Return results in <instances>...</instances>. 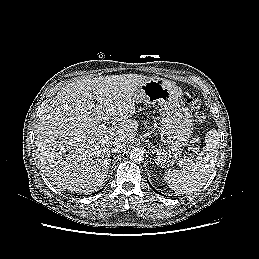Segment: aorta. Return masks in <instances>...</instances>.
Wrapping results in <instances>:
<instances>
[{"instance_id":"1","label":"aorta","mask_w":259,"mask_h":259,"mask_svg":"<svg viewBox=\"0 0 259 259\" xmlns=\"http://www.w3.org/2000/svg\"><path fill=\"white\" fill-rule=\"evenodd\" d=\"M129 158L133 162H141L144 159V151L140 148H132L129 152Z\"/></svg>"}]
</instances>
